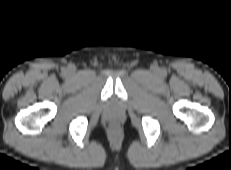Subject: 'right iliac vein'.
<instances>
[{
    "label": "right iliac vein",
    "instance_id": "1",
    "mask_svg": "<svg viewBox=\"0 0 231 170\" xmlns=\"http://www.w3.org/2000/svg\"><path fill=\"white\" fill-rule=\"evenodd\" d=\"M68 71H69L70 73H73V72L75 71V68H74V67H69V68H68Z\"/></svg>",
    "mask_w": 231,
    "mask_h": 170
}]
</instances>
